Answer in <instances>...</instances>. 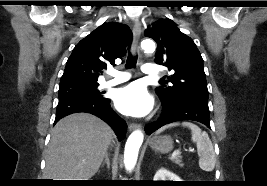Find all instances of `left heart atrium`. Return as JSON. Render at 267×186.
Instances as JSON below:
<instances>
[{
    "mask_svg": "<svg viewBox=\"0 0 267 186\" xmlns=\"http://www.w3.org/2000/svg\"><path fill=\"white\" fill-rule=\"evenodd\" d=\"M116 108L125 115L143 117L153 108V98L140 82L130 83L118 89L114 96Z\"/></svg>",
    "mask_w": 267,
    "mask_h": 186,
    "instance_id": "39dd6f15",
    "label": "left heart atrium"
}]
</instances>
